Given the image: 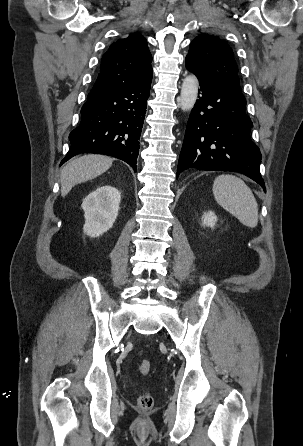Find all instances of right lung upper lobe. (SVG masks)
Listing matches in <instances>:
<instances>
[{
  "instance_id": "1",
  "label": "right lung upper lobe",
  "mask_w": 303,
  "mask_h": 446,
  "mask_svg": "<svg viewBox=\"0 0 303 446\" xmlns=\"http://www.w3.org/2000/svg\"><path fill=\"white\" fill-rule=\"evenodd\" d=\"M151 61L146 39L140 33L117 40L102 57L100 73L88 97L151 77Z\"/></svg>"
}]
</instances>
